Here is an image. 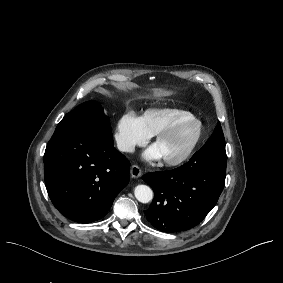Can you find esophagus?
I'll list each match as a JSON object with an SVG mask.
<instances>
[{"instance_id": "obj_1", "label": "esophagus", "mask_w": 283, "mask_h": 283, "mask_svg": "<svg viewBox=\"0 0 283 283\" xmlns=\"http://www.w3.org/2000/svg\"><path fill=\"white\" fill-rule=\"evenodd\" d=\"M130 173H131V176H132L133 178H139V177H141V175H142L141 169H140L138 166H136V165H133V166L131 167Z\"/></svg>"}]
</instances>
